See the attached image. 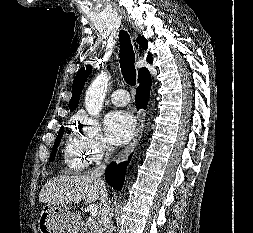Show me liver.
<instances>
[{
  "label": "liver",
  "instance_id": "1",
  "mask_svg": "<svg viewBox=\"0 0 253 233\" xmlns=\"http://www.w3.org/2000/svg\"><path fill=\"white\" fill-rule=\"evenodd\" d=\"M104 187L91 173L81 176L60 175L45 183L39 194V201L63 205L82 200L91 203L100 199Z\"/></svg>",
  "mask_w": 253,
  "mask_h": 233
}]
</instances>
